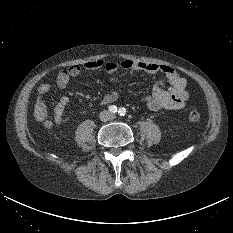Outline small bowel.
<instances>
[{"label":"small bowel","instance_id":"1","mask_svg":"<svg viewBox=\"0 0 233 233\" xmlns=\"http://www.w3.org/2000/svg\"><path fill=\"white\" fill-rule=\"evenodd\" d=\"M83 70H104L109 73L126 71L129 73L144 72L148 74H161L162 78L155 83L151 94L143 97V102L151 111L182 109L185 107L189 98L188 91L186 90L187 80L179 75L174 68L167 65L133 61L130 59L111 62L96 59L88 61L83 65L71 66L69 69L59 73L56 81L57 86L60 89L66 88L70 80L81 75ZM50 89L51 85L49 83H43L38 87V96L34 110L36 120L41 122L46 128H52L55 125L62 124L64 111L69 102L67 96H62L53 109V121L49 120L46 111V95ZM119 95V90H111L102 96L99 103L100 105L110 104L116 101ZM40 112H43L42 117L40 116Z\"/></svg>","mask_w":233,"mask_h":233}]
</instances>
